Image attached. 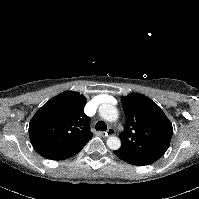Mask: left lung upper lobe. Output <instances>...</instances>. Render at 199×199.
Instances as JSON below:
<instances>
[{
	"mask_svg": "<svg viewBox=\"0 0 199 199\" xmlns=\"http://www.w3.org/2000/svg\"><path fill=\"white\" fill-rule=\"evenodd\" d=\"M122 106L126 122L120 149L157 161L170 145L171 122L154 101L140 93L122 97Z\"/></svg>",
	"mask_w": 199,
	"mask_h": 199,
	"instance_id": "1",
	"label": "left lung upper lobe"
}]
</instances>
